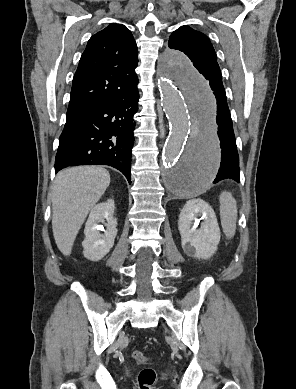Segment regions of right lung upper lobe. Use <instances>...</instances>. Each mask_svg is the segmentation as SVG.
Segmentation results:
<instances>
[{"label": "right lung upper lobe", "instance_id": "obj_1", "mask_svg": "<svg viewBox=\"0 0 296 389\" xmlns=\"http://www.w3.org/2000/svg\"><path fill=\"white\" fill-rule=\"evenodd\" d=\"M138 51L131 32L110 24L93 35L73 78L66 119L121 97L136 79Z\"/></svg>", "mask_w": 296, "mask_h": 389}]
</instances>
